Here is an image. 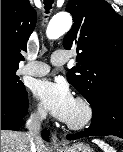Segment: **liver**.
<instances>
[{"mask_svg": "<svg viewBox=\"0 0 123 152\" xmlns=\"http://www.w3.org/2000/svg\"><path fill=\"white\" fill-rule=\"evenodd\" d=\"M37 152H47L46 146L36 144ZM1 152H30L28 139L25 133L1 130Z\"/></svg>", "mask_w": 123, "mask_h": 152, "instance_id": "1", "label": "liver"}]
</instances>
